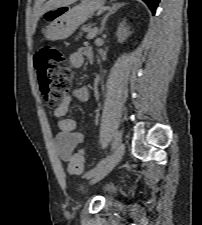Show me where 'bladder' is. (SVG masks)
<instances>
[{"instance_id":"31cf9c89","label":"bladder","mask_w":202,"mask_h":225,"mask_svg":"<svg viewBox=\"0 0 202 225\" xmlns=\"http://www.w3.org/2000/svg\"><path fill=\"white\" fill-rule=\"evenodd\" d=\"M78 191L81 194H87L92 192L93 194L100 196L102 199L109 201L112 199L115 189L112 185H104L95 187V185H91V183L86 180H82L78 186Z\"/></svg>"}]
</instances>
